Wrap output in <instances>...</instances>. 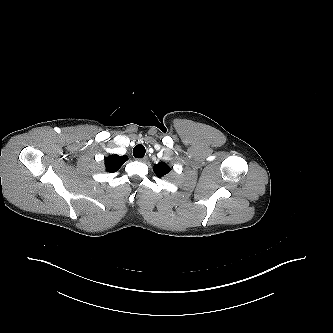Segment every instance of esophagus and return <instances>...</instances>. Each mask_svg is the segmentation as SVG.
Returning a JSON list of instances; mask_svg holds the SVG:
<instances>
[{
    "mask_svg": "<svg viewBox=\"0 0 333 333\" xmlns=\"http://www.w3.org/2000/svg\"><path fill=\"white\" fill-rule=\"evenodd\" d=\"M141 162H146L148 160L147 156H144L143 158L138 159Z\"/></svg>",
    "mask_w": 333,
    "mask_h": 333,
    "instance_id": "obj_1",
    "label": "esophagus"
}]
</instances>
